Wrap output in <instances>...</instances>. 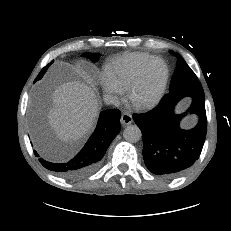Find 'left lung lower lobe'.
Wrapping results in <instances>:
<instances>
[{
  "label": "left lung lower lobe",
  "instance_id": "0a47b994",
  "mask_svg": "<svg viewBox=\"0 0 231 231\" xmlns=\"http://www.w3.org/2000/svg\"><path fill=\"white\" fill-rule=\"evenodd\" d=\"M191 97L187 110L198 116L192 130H182L180 121L186 115L175 114L176 104ZM133 119L142 131L143 158L147 168L156 175L176 177L198 160L207 132L205 97L202 86H195L166 94L153 110Z\"/></svg>",
  "mask_w": 231,
  "mask_h": 231
}]
</instances>
